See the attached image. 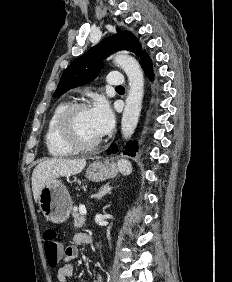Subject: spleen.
Segmentation results:
<instances>
[{"label":"spleen","instance_id":"3e777b00","mask_svg":"<svg viewBox=\"0 0 232 282\" xmlns=\"http://www.w3.org/2000/svg\"><path fill=\"white\" fill-rule=\"evenodd\" d=\"M118 168L121 173L124 175L130 174L131 172V164L126 160H119L118 161Z\"/></svg>","mask_w":232,"mask_h":282}]
</instances>
